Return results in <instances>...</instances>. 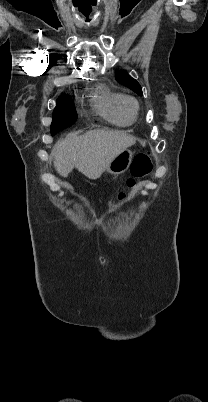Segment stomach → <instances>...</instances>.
<instances>
[{
  "instance_id": "obj_1",
  "label": "stomach",
  "mask_w": 208,
  "mask_h": 402,
  "mask_svg": "<svg viewBox=\"0 0 208 402\" xmlns=\"http://www.w3.org/2000/svg\"><path fill=\"white\" fill-rule=\"evenodd\" d=\"M132 156L133 154L132 152H130V150H123L121 154H118V156H115V158H113L108 168H106V172H108V174H115V176L123 174V172H126V170H128L131 164Z\"/></svg>"
}]
</instances>
